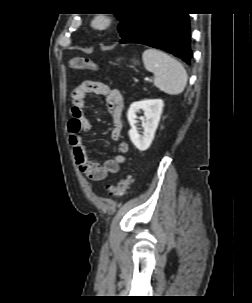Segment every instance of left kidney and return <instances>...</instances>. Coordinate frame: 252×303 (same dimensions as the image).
<instances>
[{
  "mask_svg": "<svg viewBox=\"0 0 252 303\" xmlns=\"http://www.w3.org/2000/svg\"><path fill=\"white\" fill-rule=\"evenodd\" d=\"M163 106L164 103L161 99L142 100L134 102L130 105L127 112L128 122L131 126V129L129 130V137L138 150L145 151L150 147L160 121ZM140 109L144 111V117L140 118L143 135L139 134L136 126V113Z\"/></svg>",
  "mask_w": 252,
  "mask_h": 303,
  "instance_id": "1",
  "label": "left kidney"
}]
</instances>
